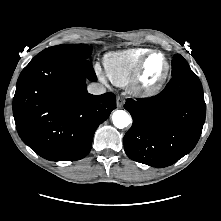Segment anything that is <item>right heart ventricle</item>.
<instances>
[{"mask_svg": "<svg viewBox=\"0 0 221 221\" xmlns=\"http://www.w3.org/2000/svg\"><path fill=\"white\" fill-rule=\"evenodd\" d=\"M150 50L144 47H133L107 52L103 57L107 76L118 86L127 85L131 82L139 62Z\"/></svg>", "mask_w": 221, "mask_h": 221, "instance_id": "e07e8e85", "label": "right heart ventricle"}]
</instances>
